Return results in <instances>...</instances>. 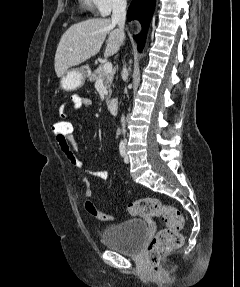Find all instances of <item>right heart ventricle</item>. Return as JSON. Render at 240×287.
Here are the masks:
<instances>
[{"label": "right heart ventricle", "instance_id": "right-heart-ventricle-1", "mask_svg": "<svg viewBox=\"0 0 240 287\" xmlns=\"http://www.w3.org/2000/svg\"><path fill=\"white\" fill-rule=\"evenodd\" d=\"M81 5L88 11H93L95 9L93 0H80Z\"/></svg>", "mask_w": 240, "mask_h": 287}]
</instances>
